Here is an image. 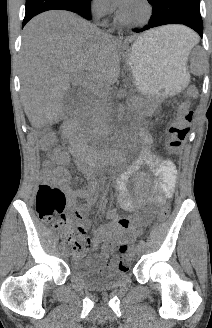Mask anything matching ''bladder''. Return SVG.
Masks as SVG:
<instances>
[{
	"instance_id": "bladder-1",
	"label": "bladder",
	"mask_w": 212,
	"mask_h": 328,
	"mask_svg": "<svg viewBox=\"0 0 212 328\" xmlns=\"http://www.w3.org/2000/svg\"><path fill=\"white\" fill-rule=\"evenodd\" d=\"M71 273L85 288L93 291H108L121 286L128 278L124 270L99 273L90 268L89 260L75 258L71 263Z\"/></svg>"
}]
</instances>
